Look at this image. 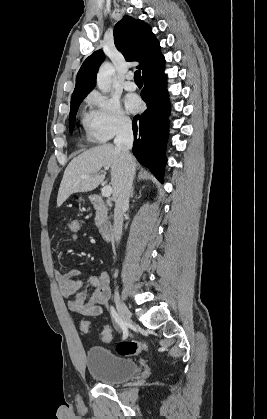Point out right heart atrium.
Instances as JSON below:
<instances>
[{
  "label": "right heart atrium",
  "instance_id": "obj_1",
  "mask_svg": "<svg viewBox=\"0 0 267 419\" xmlns=\"http://www.w3.org/2000/svg\"><path fill=\"white\" fill-rule=\"evenodd\" d=\"M87 103L92 110L89 133L95 140L106 142L131 127L129 116L116 98L93 91L88 95Z\"/></svg>",
  "mask_w": 267,
  "mask_h": 419
}]
</instances>
